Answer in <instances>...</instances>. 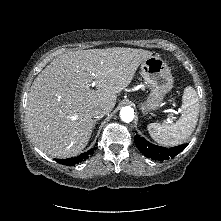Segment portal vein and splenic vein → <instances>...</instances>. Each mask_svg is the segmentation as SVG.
<instances>
[{"label":"portal vein and splenic vein","instance_id":"portal-vein-and-splenic-vein-1","mask_svg":"<svg viewBox=\"0 0 221 221\" xmlns=\"http://www.w3.org/2000/svg\"><path fill=\"white\" fill-rule=\"evenodd\" d=\"M92 86H94V82L92 83ZM168 112H173L172 110H168Z\"/></svg>","mask_w":221,"mask_h":221}]
</instances>
